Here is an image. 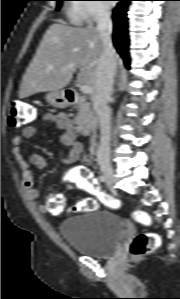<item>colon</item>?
<instances>
[{
	"label": "colon",
	"mask_w": 180,
	"mask_h": 299,
	"mask_svg": "<svg viewBox=\"0 0 180 299\" xmlns=\"http://www.w3.org/2000/svg\"><path fill=\"white\" fill-rule=\"evenodd\" d=\"M37 118V109L34 105L20 100H15L10 103L8 120L12 127L27 126ZM79 186L84 191L95 195L103 204L108 207L116 208L120 202L110 195L100 190L99 184L95 178H93L89 172L82 173L79 177ZM97 201L94 198H85L74 205L76 211H91L96 209ZM47 212L52 215H59L65 209V202L62 196L52 195L47 200ZM134 219L143 224L150 225L151 218L148 214L142 211L134 213ZM160 239L158 236L152 233H140L137 234L130 246L129 254L131 258L138 259L149 253H152L158 248Z\"/></svg>",
	"instance_id": "obj_1"
}]
</instances>
